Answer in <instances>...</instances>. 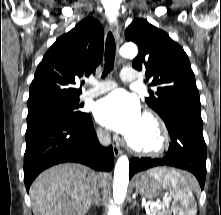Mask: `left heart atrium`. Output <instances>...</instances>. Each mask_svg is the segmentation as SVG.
Returning <instances> with one entry per match:
<instances>
[{"label":"left heart atrium","mask_w":221,"mask_h":215,"mask_svg":"<svg viewBox=\"0 0 221 215\" xmlns=\"http://www.w3.org/2000/svg\"><path fill=\"white\" fill-rule=\"evenodd\" d=\"M95 117L103 126L131 138L142 122L139 101L123 90L101 99L95 106Z\"/></svg>","instance_id":"obj_1"}]
</instances>
